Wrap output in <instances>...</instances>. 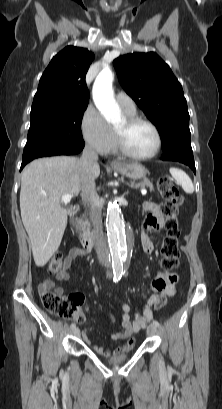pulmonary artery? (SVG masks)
Listing matches in <instances>:
<instances>
[{"mask_svg": "<svg viewBox=\"0 0 222 409\" xmlns=\"http://www.w3.org/2000/svg\"><path fill=\"white\" fill-rule=\"evenodd\" d=\"M118 105L122 108V110L127 112H134L136 111V105L133 99L124 92H118L115 96Z\"/></svg>", "mask_w": 222, "mask_h": 409, "instance_id": "obj_1", "label": "pulmonary artery"}]
</instances>
